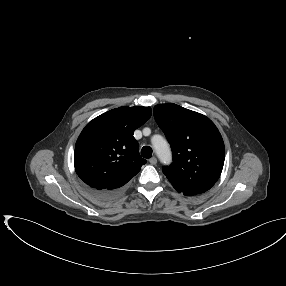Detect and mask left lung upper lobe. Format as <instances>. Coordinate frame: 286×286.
Segmentation results:
<instances>
[{
	"label": "left lung upper lobe",
	"instance_id": "5c2ea615",
	"mask_svg": "<svg viewBox=\"0 0 286 286\" xmlns=\"http://www.w3.org/2000/svg\"><path fill=\"white\" fill-rule=\"evenodd\" d=\"M154 118L173 152L163 173L178 192H206L219 179L225 147L221 134L206 116L173 103L154 107Z\"/></svg>",
	"mask_w": 286,
	"mask_h": 286
}]
</instances>
